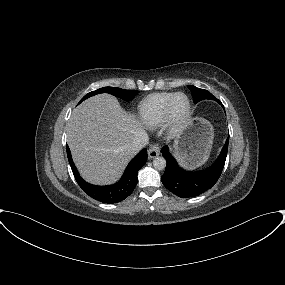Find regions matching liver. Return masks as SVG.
<instances>
[{
	"label": "liver",
	"instance_id": "1",
	"mask_svg": "<svg viewBox=\"0 0 285 285\" xmlns=\"http://www.w3.org/2000/svg\"><path fill=\"white\" fill-rule=\"evenodd\" d=\"M140 131L143 123L115 97L100 94L82 102L67 123V143L81 176L97 185L117 181L135 155L130 144Z\"/></svg>",
	"mask_w": 285,
	"mask_h": 285
}]
</instances>
